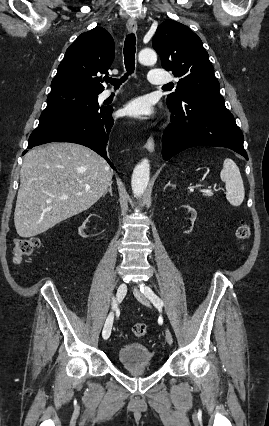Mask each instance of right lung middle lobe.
Masks as SVG:
<instances>
[{"instance_id":"dd1d6c3e","label":"right lung middle lobe","mask_w":269,"mask_h":426,"mask_svg":"<svg viewBox=\"0 0 269 426\" xmlns=\"http://www.w3.org/2000/svg\"><path fill=\"white\" fill-rule=\"evenodd\" d=\"M98 94L73 89L51 92L47 98V107L40 116L39 125L99 108Z\"/></svg>"}]
</instances>
